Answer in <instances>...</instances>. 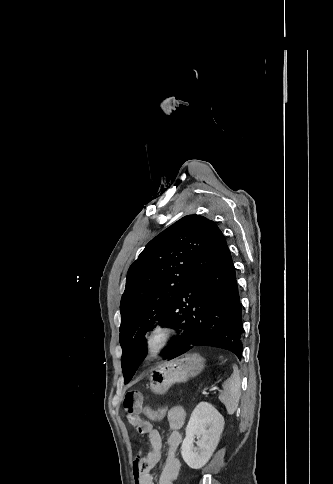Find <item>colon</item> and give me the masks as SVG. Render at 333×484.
Listing matches in <instances>:
<instances>
[{
	"label": "colon",
	"instance_id": "5ec220e1",
	"mask_svg": "<svg viewBox=\"0 0 333 484\" xmlns=\"http://www.w3.org/2000/svg\"><path fill=\"white\" fill-rule=\"evenodd\" d=\"M169 409L170 408H167L165 406H162V407H159V408L146 407L145 408V416L149 420H159L166 414V412Z\"/></svg>",
	"mask_w": 333,
	"mask_h": 484
}]
</instances>
